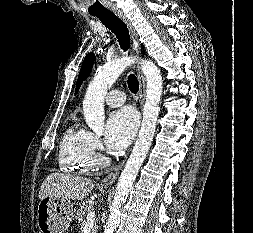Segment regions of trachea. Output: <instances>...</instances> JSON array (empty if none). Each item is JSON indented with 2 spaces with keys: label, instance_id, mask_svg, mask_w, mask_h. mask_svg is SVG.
Listing matches in <instances>:
<instances>
[{
  "label": "trachea",
  "instance_id": "obj_1",
  "mask_svg": "<svg viewBox=\"0 0 253 233\" xmlns=\"http://www.w3.org/2000/svg\"><path fill=\"white\" fill-rule=\"evenodd\" d=\"M97 17L109 30L114 33L118 39V42L123 50H127L130 47V35L126 24L117 17L113 12H103L92 14ZM128 88L132 93H137L139 90V83L134 74L128 76Z\"/></svg>",
  "mask_w": 253,
  "mask_h": 233
}]
</instances>
